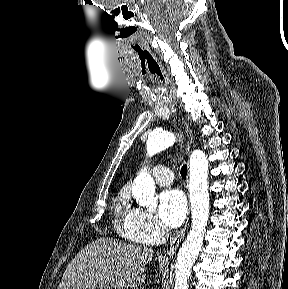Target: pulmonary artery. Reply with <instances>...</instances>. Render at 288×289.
<instances>
[{"instance_id":"pulmonary-artery-1","label":"pulmonary artery","mask_w":288,"mask_h":289,"mask_svg":"<svg viewBox=\"0 0 288 289\" xmlns=\"http://www.w3.org/2000/svg\"><path fill=\"white\" fill-rule=\"evenodd\" d=\"M152 173L156 182L160 185H169L173 181L172 171L165 166L159 165L154 167Z\"/></svg>"}]
</instances>
